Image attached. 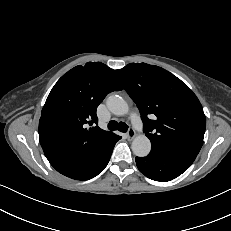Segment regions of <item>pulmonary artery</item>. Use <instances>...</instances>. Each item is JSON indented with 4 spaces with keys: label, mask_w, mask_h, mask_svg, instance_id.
Instances as JSON below:
<instances>
[{
    "label": "pulmonary artery",
    "mask_w": 231,
    "mask_h": 231,
    "mask_svg": "<svg viewBox=\"0 0 231 231\" xmlns=\"http://www.w3.org/2000/svg\"><path fill=\"white\" fill-rule=\"evenodd\" d=\"M132 122H133L134 127H135L137 130H140V129L142 128V122H141V120H140V118H139L138 115H134V116L132 117Z\"/></svg>",
    "instance_id": "e3ab8cb5"
}]
</instances>
